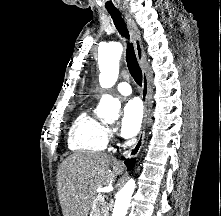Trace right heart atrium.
<instances>
[{
  "label": "right heart atrium",
  "instance_id": "d8ad5b80",
  "mask_svg": "<svg viewBox=\"0 0 221 216\" xmlns=\"http://www.w3.org/2000/svg\"><path fill=\"white\" fill-rule=\"evenodd\" d=\"M107 136L112 137L113 136V131L109 128H107Z\"/></svg>",
  "mask_w": 221,
  "mask_h": 216
}]
</instances>
